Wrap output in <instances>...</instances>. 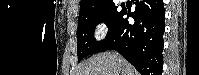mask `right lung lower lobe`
<instances>
[{"label": "right lung lower lobe", "instance_id": "right-lung-lower-lobe-1", "mask_svg": "<svg viewBox=\"0 0 199 75\" xmlns=\"http://www.w3.org/2000/svg\"><path fill=\"white\" fill-rule=\"evenodd\" d=\"M133 25L122 14L105 44L97 51L117 50L142 75H162L165 10L163 0H133ZM129 16V13L127 14ZM96 52V53H97Z\"/></svg>", "mask_w": 199, "mask_h": 75}]
</instances>
